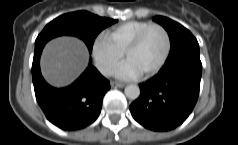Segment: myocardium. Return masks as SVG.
I'll use <instances>...</instances> for the list:
<instances>
[{"instance_id":"myocardium-1","label":"myocardium","mask_w":238,"mask_h":145,"mask_svg":"<svg viewBox=\"0 0 238 145\" xmlns=\"http://www.w3.org/2000/svg\"><path fill=\"white\" fill-rule=\"evenodd\" d=\"M153 28H158L163 32L164 37H165V49H164L163 55L161 56V58L157 62V64L152 69H150L146 73L142 74V77H145V78L150 77V76L154 75L155 73H157L162 68V66L165 64L166 60L169 57V54L171 51V37H170L168 30L161 24L152 23V24L148 25L147 27H145L142 31H140L137 34V36L130 42V44L127 46V48L124 51V57L127 58V55L141 44L144 37Z\"/></svg>"}]
</instances>
